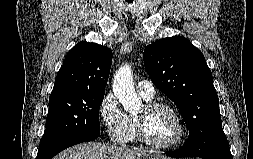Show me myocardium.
I'll return each instance as SVG.
<instances>
[{"mask_svg": "<svg viewBox=\"0 0 253 159\" xmlns=\"http://www.w3.org/2000/svg\"><path fill=\"white\" fill-rule=\"evenodd\" d=\"M145 109L147 112L155 111L158 109L169 110L171 113H173V115L176 117L178 121L179 132H178L177 137L170 143L162 144V143L154 142L148 136L144 120L137 116L135 118L137 137H138V140L142 144L154 149H158V150H169V149H173L177 147L178 145L182 143V141L184 140L186 136L187 126H186L183 116L181 115V113L175 106L169 103H165V102L152 101V102H148L145 105Z\"/></svg>", "mask_w": 253, "mask_h": 159, "instance_id": "1", "label": "myocardium"}]
</instances>
